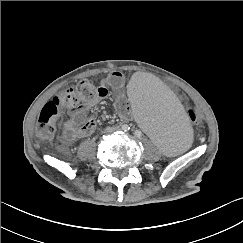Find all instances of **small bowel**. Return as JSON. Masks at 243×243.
<instances>
[{
    "label": "small bowel",
    "instance_id": "c3829d8e",
    "mask_svg": "<svg viewBox=\"0 0 243 243\" xmlns=\"http://www.w3.org/2000/svg\"><path fill=\"white\" fill-rule=\"evenodd\" d=\"M105 84H109L115 90V109L119 117L123 120L131 118L132 113L128 97L122 91L124 84L123 75L120 72L114 71L103 80L102 85L97 87L96 96L98 99L85 104L78 109L70 111L69 118L64 125L62 134V139L66 144H70L93 133L95 129V121L91 118L87 119L86 114L88 110L101 99L106 98L108 88Z\"/></svg>",
    "mask_w": 243,
    "mask_h": 243
}]
</instances>
